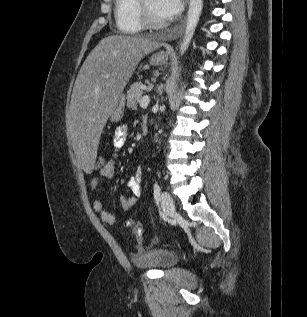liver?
Returning a JSON list of instances; mask_svg holds the SVG:
<instances>
[{
	"label": "liver",
	"mask_w": 307,
	"mask_h": 317,
	"mask_svg": "<svg viewBox=\"0 0 307 317\" xmlns=\"http://www.w3.org/2000/svg\"><path fill=\"white\" fill-rule=\"evenodd\" d=\"M149 37L110 35L83 63L69 106L68 134L83 175H92L101 132L139 62L161 47Z\"/></svg>",
	"instance_id": "obj_1"
}]
</instances>
